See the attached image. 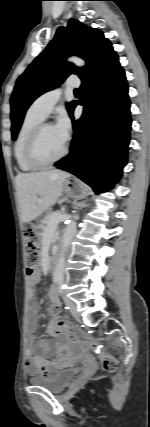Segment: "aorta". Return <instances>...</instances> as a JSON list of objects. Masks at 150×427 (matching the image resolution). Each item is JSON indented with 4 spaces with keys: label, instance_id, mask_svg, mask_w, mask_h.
<instances>
[{
    "label": "aorta",
    "instance_id": "aorta-1",
    "mask_svg": "<svg viewBox=\"0 0 150 427\" xmlns=\"http://www.w3.org/2000/svg\"><path fill=\"white\" fill-rule=\"evenodd\" d=\"M68 61L74 63L78 67H82L85 65V61L79 57H70ZM77 216H74L73 219L67 225L62 238V245L60 250V255L58 261L56 263L55 271H54V280L57 282H62L64 279V268H65V260H66V252L68 247L72 241V238L76 232V220Z\"/></svg>",
    "mask_w": 150,
    "mask_h": 427
}]
</instances>
